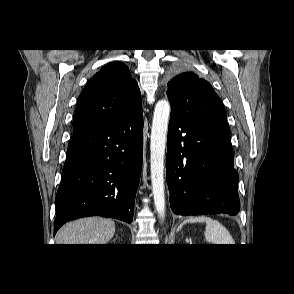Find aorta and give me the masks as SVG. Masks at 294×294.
Wrapping results in <instances>:
<instances>
[{
  "label": "aorta",
  "instance_id": "1",
  "mask_svg": "<svg viewBox=\"0 0 294 294\" xmlns=\"http://www.w3.org/2000/svg\"><path fill=\"white\" fill-rule=\"evenodd\" d=\"M169 116V101L159 100L155 105L151 128L150 171L155 209L160 218L165 215L164 157Z\"/></svg>",
  "mask_w": 294,
  "mask_h": 294
}]
</instances>
